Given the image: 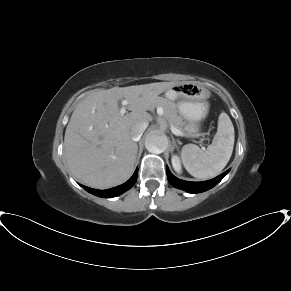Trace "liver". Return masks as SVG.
<instances>
[{"mask_svg": "<svg viewBox=\"0 0 291 291\" xmlns=\"http://www.w3.org/2000/svg\"><path fill=\"white\" fill-rule=\"evenodd\" d=\"M158 82L113 87L91 93L72 113L64 137V154L72 174L84 184L106 189L129 179L133 172L137 143L131 128L149 123L147 112L157 96L175 86ZM128 101L130 113L120 114L118 101Z\"/></svg>", "mask_w": 291, "mask_h": 291, "instance_id": "obj_1", "label": "liver"}]
</instances>
